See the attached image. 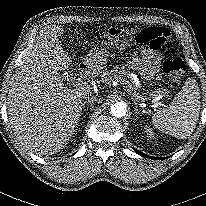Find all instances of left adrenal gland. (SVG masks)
<instances>
[{
    "label": "left adrenal gland",
    "mask_w": 206,
    "mask_h": 206,
    "mask_svg": "<svg viewBox=\"0 0 206 206\" xmlns=\"http://www.w3.org/2000/svg\"><path fill=\"white\" fill-rule=\"evenodd\" d=\"M128 90H129V89H128ZM129 93H131V90H129ZM134 109H135V115H137V113L139 112V111H138V108H137V105L134 106Z\"/></svg>",
    "instance_id": "1"
}]
</instances>
